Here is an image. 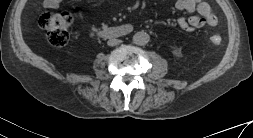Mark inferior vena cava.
<instances>
[{"mask_svg": "<svg viewBox=\"0 0 253 138\" xmlns=\"http://www.w3.org/2000/svg\"><path fill=\"white\" fill-rule=\"evenodd\" d=\"M120 43V40H118V39H110V40H108V42H107V44L109 45V46H115V45H117V44H119Z\"/></svg>", "mask_w": 253, "mask_h": 138, "instance_id": "602c4592", "label": "inferior vena cava"}]
</instances>
